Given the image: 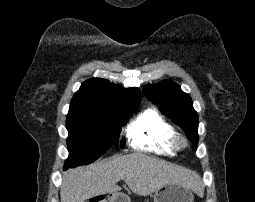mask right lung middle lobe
Here are the masks:
<instances>
[{
    "label": "right lung middle lobe",
    "instance_id": "dd1d6c3e",
    "mask_svg": "<svg viewBox=\"0 0 255 202\" xmlns=\"http://www.w3.org/2000/svg\"><path fill=\"white\" fill-rule=\"evenodd\" d=\"M137 105L103 115L68 116L66 128L69 132L67 145L69 158L64 169L86 165L106 153L115 142Z\"/></svg>",
    "mask_w": 255,
    "mask_h": 202
}]
</instances>
